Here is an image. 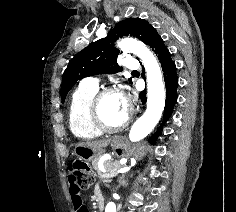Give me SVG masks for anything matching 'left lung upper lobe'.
<instances>
[{"label":"left lung upper lobe","mask_w":236,"mask_h":212,"mask_svg":"<svg viewBox=\"0 0 236 212\" xmlns=\"http://www.w3.org/2000/svg\"><path fill=\"white\" fill-rule=\"evenodd\" d=\"M154 27L144 19L128 18L116 24L107 36L77 53L63 73L61 85L62 103L69 90L82 78L97 74H114L122 69L117 64L119 50L114 42L123 36H133L147 44L149 33ZM131 80V79H129Z\"/></svg>","instance_id":"1"}]
</instances>
